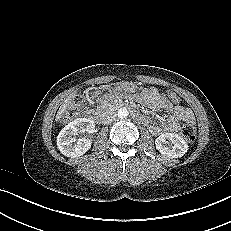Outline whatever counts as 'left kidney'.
Listing matches in <instances>:
<instances>
[{
	"label": "left kidney",
	"mask_w": 231,
	"mask_h": 231,
	"mask_svg": "<svg viewBox=\"0 0 231 231\" xmlns=\"http://www.w3.org/2000/svg\"><path fill=\"white\" fill-rule=\"evenodd\" d=\"M156 149L169 158L182 157L188 150L185 139L175 133H163L155 140Z\"/></svg>",
	"instance_id": "left-kidney-1"
}]
</instances>
